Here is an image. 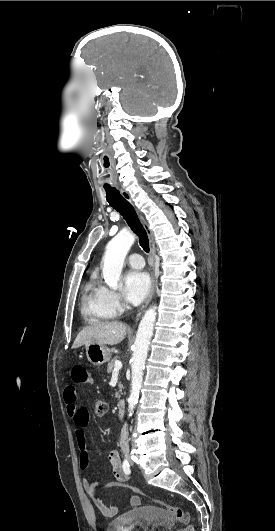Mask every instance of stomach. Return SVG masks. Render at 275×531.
Returning <instances> with one entry per match:
<instances>
[{"instance_id":"stomach-1","label":"stomach","mask_w":275,"mask_h":531,"mask_svg":"<svg viewBox=\"0 0 275 531\" xmlns=\"http://www.w3.org/2000/svg\"><path fill=\"white\" fill-rule=\"evenodd\" d=\"M86 357L92 365H104L111 359L110 349L105 345H99V343H88L86 345Z\"/></svg>"}]
</instances>
